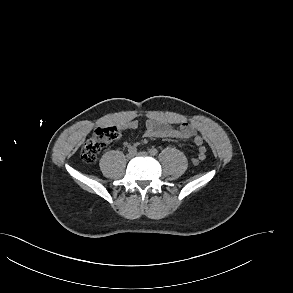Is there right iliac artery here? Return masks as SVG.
<instances>
[{
    "instance_id": "right-iliac-artery-1",
    "label": "right iliac artery",
    "mask_w": 293,
    "mask_h": 293,
    "mask_svg": "<svg viewBox=\"0 0 293 293\" xmlns=\"http://www.w3.org/2000/svg\"><path fill=\"white\" fill-rule=\"evenodd\" d=\"M136 151H137L136 147L130 146V147L128 148V152L136 153Z\"/></svg>"
}]
</instances>
